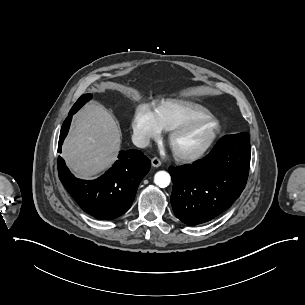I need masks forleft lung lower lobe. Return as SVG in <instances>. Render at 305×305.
I'll list each match as a JSON object with an SVG mask.
<instances>
[{
  "label": "left lung lower lobe",
  "mask_w": 305,
  "mask_h": 305,
  "mask_svg": "<svg viewBox=\"0 0 305 305\" xmlns=\"http://www.w3.org/2000/svg\"><path fill=\"white\" fill-rule=\"evenodd\" d=\"M249 134L223 137L201 161L170 167L173 211L183 223L194 226L212 220L240 196L250 165Z\"/></svg>",
  "instance_id": "0a47b994"
}]
</instances>
